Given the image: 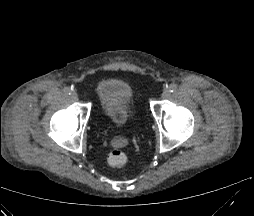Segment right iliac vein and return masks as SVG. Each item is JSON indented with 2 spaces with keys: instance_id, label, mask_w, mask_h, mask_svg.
I'll list each match as a JSON object with an SVG mask.
<instances>
[{
  "instance_id": "obj_1",
  "label": "right iliac vein",
  "mask_w": 254,
  "mask_h": 216,
  "mask_svg": "<svg viewBox=\"0 0 254 216\" xmlns=\"http://www.w3.org/2000/svg\"><path fill=\"white\" fill-rule=\"evenodd\" d=\"M71 98H72L73 100H78V94H77L76 92H72V93H71Z\"/></svg>"
}]
</instances>
